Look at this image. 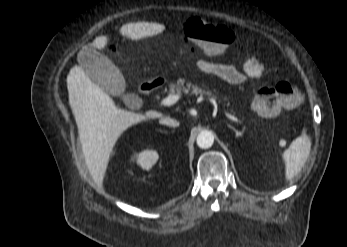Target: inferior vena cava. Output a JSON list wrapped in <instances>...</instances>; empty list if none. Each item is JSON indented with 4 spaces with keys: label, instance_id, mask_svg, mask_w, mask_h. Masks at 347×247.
Masks as SVG:
<instances>
[{
    "label": "inferior vena cava",
    "instance_id": "602c4592",
    "mask_svg": "<svg viewBox=\"0 0 347 247\" xmlns=\"http://www.w3.org/2000/svg\"><path fill=\"white\" fill-rule=\"evenodd\" d=\"M159 122L164 125H168L171 127H178L179 126V121L172 119L170 117H161Z\"/></svg>",
    "mask_w": 347,
    "mask_h": 247
}]
</instances>
